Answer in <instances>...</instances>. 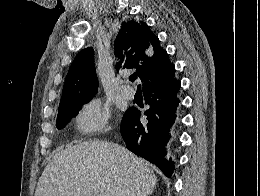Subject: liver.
I'll list each match as a JSON object with an SVG mask.
<instances>
[{"label":"liver","mask_w":260,"mask_h":196,"mask_svg":"<svg viewBox=\"0 0 260 196\" xmlns=\"http://www.w3.org/2000/svg\"><path fill=\"white\" fill-rule=\"evenodd\" d=\"M157 178L150 164L127 148L106 142H82L53 156L35 196H150Z\"/></svg>","instance_id":"obj_1"}]
</instances>
